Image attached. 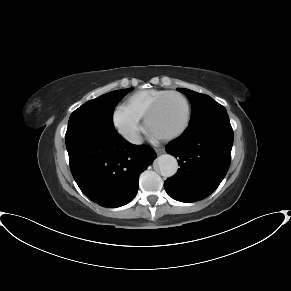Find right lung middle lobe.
<instances>
[{
	"mask_svg": "<svg viewBox=\"0 0 291 291\" xmlns=\"http://www.w3.org/2000/svg\"><path fill=\"white\" fill-rule=\"evenodd\" d=\"M132 90L133 88L112 91L86 102L71 114L68 125L87 123L114 128V108L119 100Z\"/></svg>",
	"mask_w": 291,
	"mask_h": 291,
	"instance_id": "dd1d6c3e",
	"label": "right lung middle lobe"
}]
</instances>
